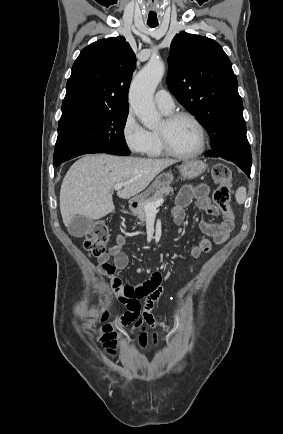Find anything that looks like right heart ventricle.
Segmentation results:
<instances>
[{
	"mask_svg": "<svg viewBox=\"0 0 283 434\" xmlns=\"http://www.w3.org/2000/svg\"><path fill=\"white\" fill-rule=\"evenodd\" d=\"M164 113L168 114L169 112ZM145 154L152 158L161 157L165 154L162 149L158 133L155 130L149 131V143L146 148Z\"/></svg>",
	"mask_w": 283,
	"mask_h": 434,
	"instance_id": "e07e8e85",
	"label": "right heart ventricle"
}]
</instances>
